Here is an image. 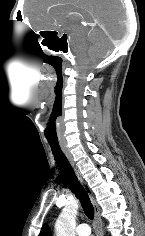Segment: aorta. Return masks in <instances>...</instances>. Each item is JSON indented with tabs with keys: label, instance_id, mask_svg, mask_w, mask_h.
<instances>
[{
	"label": "aorta",
	"instance_id": "762f6f07",
	"mask_svg": "<svg viewBox=\"0 0 145 236\" xmlns=\"http://www.w3.org/2000/svg\"><path fill=\"white\" fill-rule=\"evenodd\" d=\"M78 208V202L73 200L62 209L55 224L56 236H75Z\"/></svg>",
	"mask_w": 145,
	"mask_h": 236
}]
</instances>
